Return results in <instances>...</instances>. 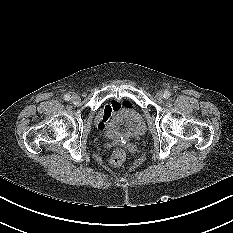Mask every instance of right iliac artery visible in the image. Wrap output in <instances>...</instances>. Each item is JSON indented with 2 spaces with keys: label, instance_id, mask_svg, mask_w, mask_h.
I'll list each match as a JSON object with an SVG mask.
<instances>
[{
  "label": "right iliac artery",
  "instance_id": "obj_1",
  "mask_svg": "<svg viewBox=\"0 0 233 233\" xmlns=\"http://www.w3.org/2000/svg\"><path fill=\"white\" fill-rule=\"evenodd\" d=\"M64 99L66 100V101H69L71 98H70V95L69 94H66V95H64Z\"/></svg>",
  "mask_w": 233,
  "mask_h": 233
}]
</instances>
